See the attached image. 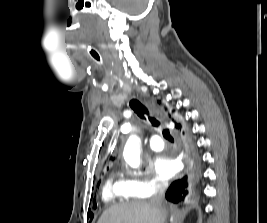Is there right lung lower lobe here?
<instances>
[{"label": "right lung lower lobe", "mask_w": 267, "mask_h": 223, "mask_svg": "<svg viewBox=\"0 0 267 223\" xmlns=\"http://www.w3.org/2000/svg\"><path fill=\"white\" fill-rule=\"evenodd\" d=\"M199 177V168L196 165L195 168L190 170L182 178L174 181L166 192V198L174 203L181 201L188 194V188L191 183Z\"/></svg>", "instance_id": "obj_1"}]
</instances>
